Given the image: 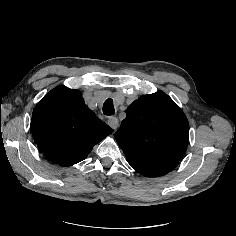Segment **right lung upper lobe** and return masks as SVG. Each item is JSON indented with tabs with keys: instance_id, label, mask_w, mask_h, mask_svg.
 <instances>
[{
	"instance_id": "obj_1",
	"label": "right lung upper lobe",
	"mask_w": 236,
	"mask_h": 236,
	"mask_svg": "<svg viewBox=\"0 0 236 236\" xmlns=\"http://www.w3.org/2000/svg\"><path fill=\"white\" fill-rule=\"evenodd\" d=\"M31 132L48 160L67 167L84 160L112 129L85 105L80 91L58 86L36 105Z\"/></svg>"
}]
</instances>
